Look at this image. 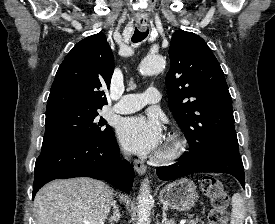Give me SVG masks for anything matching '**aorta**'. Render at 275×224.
Listing matches in <instances>:
<instances>
[{
	"label": "aorta",
	"instance_id": "obj_1",
	"mask_svg": "<svg viewBox=\"0 0 275 224\" xmlns=\"http://www.w3.org/2000/svg\"><path fill=\"white\" fill-rule=\"evenodd\" d=\"M165 68V60L160 55L145 57L140 63L139 70L144 75H151L162 71ZM152 196L148 179H145L138 195V218L137 224H150V202Z\"/></svg>",
	"mask_w": 275,
	"mask_h": 224
}]
</instances>
